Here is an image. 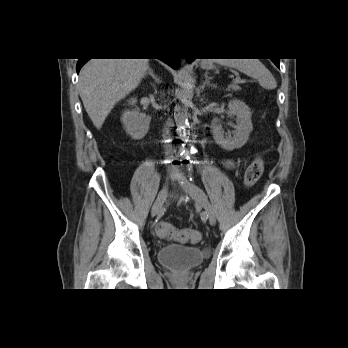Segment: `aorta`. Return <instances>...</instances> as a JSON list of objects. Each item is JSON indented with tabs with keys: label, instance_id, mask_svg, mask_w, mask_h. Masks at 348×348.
<instances>
[{
	"label": "aorta",
	"instance_id": "obj_1",
	"mask_svg": "<svg viewBox=\"0 0 348 348\" xmlns=\"http://www.w3.org/2000/svg\"><path fill=\"white\" fill-rule=\"evenodd\" d=\"M193 77L188 71H185L179 80V91L177 97L179 104L174 110V119L176 123V132L178 136L184 140L188 135V107L192 103L193 98Z\"/></svg>",
	"mask_w": 348,
	"mask_h": 348
}]
</instances>
